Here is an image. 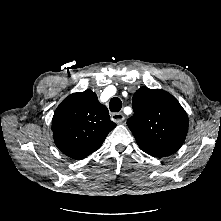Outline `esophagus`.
Wrapping results in <instances>:
<instances>
[{"label": "esophagus", "instance_id": "34e87169", "mask_svg": "<svg viewBox=\"0 0 221 221\" xmlns=\"http://www.w3.org/2000/svg\"><path fill=\"white\" fill-rule=\"evenodd\" d=\"M124 119H125V116H124V114L121 113V112L113 113V114L111 115V120H112L113 122H115V123H118V124L121 123V122H123Z\"/></svg>", "mask_w": 221, "mask_h": 221}]
</instances>
